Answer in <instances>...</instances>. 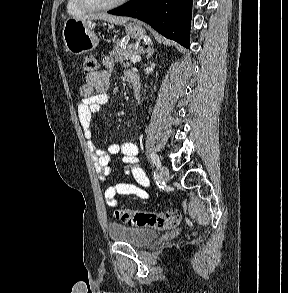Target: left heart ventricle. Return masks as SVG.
Returning a JSON list of instances; mask_svg holds the SVG:
<instances>
[{
	"label": "left heart ventricle",
	"instance_id": "1",
	"mask_svg": "<svg viewBox=\"0 0 288 293\" xmlns=\"http://www.w3.org/2000/svg\"><path fill=\"white\" fill-rule=\"evenodd\" d=\"M90 1L95 2V3H100V4H106V3L114 2L116 0H90Z\"/></svg>",
	"mask_w": 288,
	"mask_h": 293
}]
</instances>
